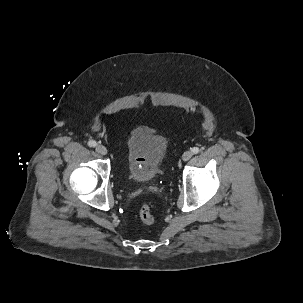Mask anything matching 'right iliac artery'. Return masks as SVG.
Listing matches in <instances>:
<instances>
[{
  "instance_id": "right-iliac-artery-1",
  "label": "right iliac artery",
  "mask_w": 303,
  "mask_h": 303,
  "mask_svg": "<svg viewBox=\"0 0 303 303\" xmlns=\"http://www.w3.org/2000/svg\"><path fill=\"white\" fill-rule=\"evenodd\" d=\"M88 145H89L90 147H95V146L97 145V143H96V141L91 140V141L88 142Z\"/></svg>"
}]
</instances>
